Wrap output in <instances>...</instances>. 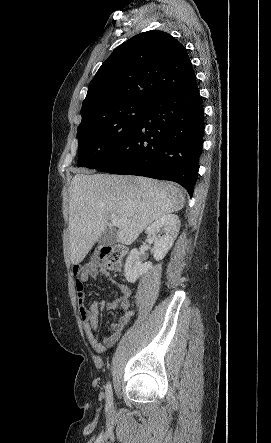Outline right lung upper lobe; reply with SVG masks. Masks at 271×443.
Returning a JSON list of instances; mask_svg holds the SVG:
<instances>
[{
  "instance_id": "obj_1",
  "label": "right lung upper lobe",
  "mask_w": 271,
  "mask_h": 443,
  "mask_svg": "<svg viewBox=\"0 0 271 443\" xmlns=\"http://www.w3.org/2000/svg\"><path fill=\"white\" fill-rule=\"evenodd\" d=\"M196 81L186 48L162 31L140 33L117 47L90 82L82 121L125 101L150 103Z\"/></svg>"
}]
</instances>
